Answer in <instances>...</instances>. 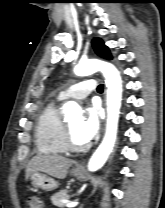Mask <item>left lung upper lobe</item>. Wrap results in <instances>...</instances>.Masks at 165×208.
<instances>
[{"mask_svg": "<svg viewBox=\"0 0 165 208\" xmlns=\"http://www.w3.org/2000/svg\"><path fill=\"white\" fill-rule=\"evenodd\" d=\"M92 45H93V48H94L95 52L100 57H103V58H106V59H111L112 58L108 47L105 46L104 42L101 39H99V38L93 39Z\"/></svg>", "mask_w": 165, "mask_h": 208, "instance_id": "left-lung-upper-lobe-1", "label": "left lung upper lobe"}]
</instances>
